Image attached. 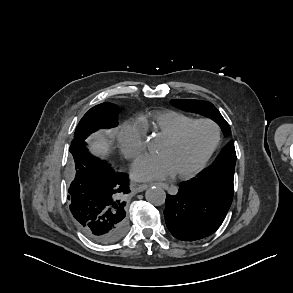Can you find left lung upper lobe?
Instances as JSON below:
<instances>
[{
  "instance_id": "1",
  "label": "left lung upper lobe",
  "mask_w": 293,
  "mask_h": 293,
  "mask_svg": "<svg viewBox=\"0 0 293 293\" xmlns=\"http://www.w3.org/2000/svg\"><path fill=\"white\" fill-rule=\"evenodd\" d=\"M171 104L179 109L202 114L213 119L223 130L225 135L231 132L229 124L222 117L217 108L210 102L201 100H171ZM236 152L233 141L222 149L213 164L203 172L204 175L209 174H228L233 175L235 171Z\"/></svg>"
}]
</instances>
